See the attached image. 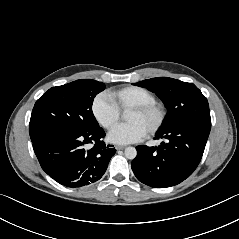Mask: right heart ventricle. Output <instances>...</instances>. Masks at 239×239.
<instances>
[{
  "label": "right heart ventricle",
  "mask_w": 239,
  "mask_h": 239,
  "mask_svg": "<svg viewBox=\"0 0 239 239\" xmlns=\"http://www.w3.org/2000/svg\"><path fill=\"white\" fill-rule=\"evenodd\" d=\"M109 98L121 111H128L134 106L155 103L156 97L148 89L139 86H128L110 91Z\"/></svg>",
  "instance_id": "right-heart-ventricle-1"
}]
</instances>
